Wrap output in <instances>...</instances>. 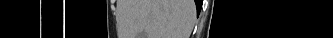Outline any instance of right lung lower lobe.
<instances>
[{"instance_id":"right-lung-lower-lobe-1","label":"right lung lower lobe","mask_w":333,"mask_h":38,"mask_svg":"<svg viewBox=\"0 0 333 38\" xmlns=\"http://www.w3.org/2000/svg\"><path fill=\"white\" fill-rule=\"evenodd\" d=\"M195 3H196V6H197V8H198V1L195 0Z\"/></svg>"}]
</instances>
